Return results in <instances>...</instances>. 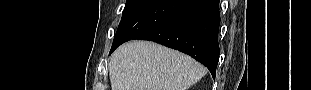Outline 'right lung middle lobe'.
I'll return each mask as SVG.
<instances>
[{"mask_svg":"<svg viewBox=\"0 0 311 90\" xmlns=\"http://www.w3.org/2000/svg\"><path fill=\"white\" fill-rule=\"evenodd\" d=\"M189 0H127L111 51L160 24Z\"/></svg>","mask_w":311,"mask_h":90,"instance_id":"dd1d6c3e","label":"right lung middle lobe"}]
</instances>
